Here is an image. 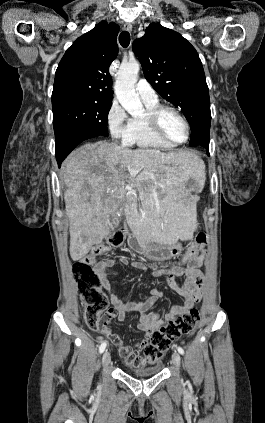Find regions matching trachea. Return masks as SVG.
<instances>
[{"mask_svg": "<svg viewBox=\"0 0 265 423\" xmlns=\"http://www.w3.org/2000/svg\"><path fill=\"white\" fill-rule=\"evenodd\" d=\"M119 42L122 47L124 48L128 47L130 43V34L128 31L121 32V34L119 35Z\"/></svg>", "mask_w": 265, "mask_h": 423, "instance_id": "trachea-1", "label": "trachea"}]
</instances>
